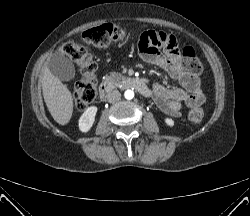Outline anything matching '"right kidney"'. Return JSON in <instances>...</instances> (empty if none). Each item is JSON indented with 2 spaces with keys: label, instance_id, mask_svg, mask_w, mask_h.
<instances>
[{
  "label": "right kidney",
  "instance_id": "obj_1",
  "mask_svg": "<svg viewBox=\"0 0 250 216\" xmlns=\"http://www.w3.org/2000/svg\"><path fill=\"white\" fill-rule=\"evenodd\" d=\"M97 110L96 106H91L81 115L78 125L81 132L86 133L91 129L95 121Z\"/></svg>",
  "mask_w": 250,
  "mask_h": 216
}]
</instances>
